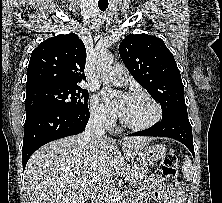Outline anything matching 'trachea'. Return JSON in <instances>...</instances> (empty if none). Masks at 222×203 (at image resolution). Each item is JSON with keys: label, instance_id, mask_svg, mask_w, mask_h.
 Returning <instances> with one entry per match:
<instances>
[{"label": "trachea", "instance_id": "3493384b", "mask_svg": "<svg viewBox=\"0 0 222 203\" xmlns=\"http://www.w3.org/2000/svg\"><path fill=\"white\" fill-rule=\"evenodd\" d=\"M98 6H99V9L101 11H105L107 9V7H108V4H106V5H98Z\"/></svg>", "mask_w": 222, "mask_h": 203}]
</instances>
